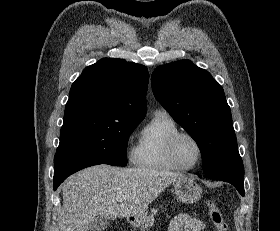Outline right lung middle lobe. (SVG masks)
I'll use <instances>...</instances> for the list:
<instances>
[{"instance_id": "right-lung-middle-lobe-1", "label": "right lung middle lobe", "mask_w": 280, "mask_h": 231, "mask_svg": "<svg viewBox=\"0 0 280 231\" xmlns=\"http://www.w3.org/2000/svg\"><path fill=\"white\" fill-rule=\"evenodd\" d=\"M140 122L120 118L64 119L55 156H75L126 166L128 138Z\"/></svg>"}]
</instances>
